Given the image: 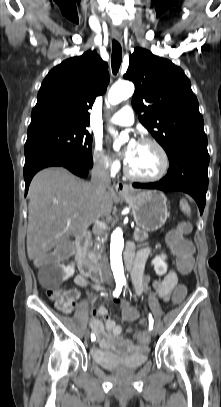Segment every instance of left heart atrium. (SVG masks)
<instances>
[{
	"instance_id": "obj_1",
	"label": "left heart atrium",
	"mask_w": 221,
	"mask_h": 407,
	"mask_svg": "<svg viewBox=\"0 0 221 407\" xmlns=\"http://www.w3.org/2000/svg\"><path fill=\"white\" fill-rule=\"evenodd\" d=\"M137 143L135 141H131L129 143V145L127 146V148L124 151V157L126 159L129 158V156L131 155L132 151L134 150V148L136 147Z\"/></svg>"
}]
</instances>
